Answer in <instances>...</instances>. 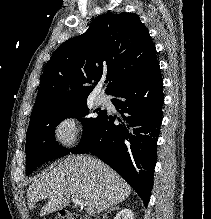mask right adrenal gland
Returning a JSON list of instances; mask_svg holds the SVG:
<instances>
[{"label":"right adrenal gland","mask_w":211,"mask_h":219,"mask_svg":"<svg viewBox=\"0 0 211 219\" xmlns=\"http://www.w3.org/2000/svg\"><path fill=\"white\" fill-rule=\"evenodd\" d=\"M118 209H119V206L110 208V209L103 215V219L107 218V215H108L111 211H113V210H118Z\"/></svg>","instance_id":"right-adrenal-gland-1"}]
</instances>
